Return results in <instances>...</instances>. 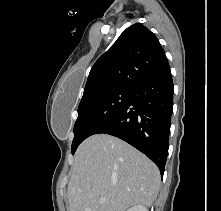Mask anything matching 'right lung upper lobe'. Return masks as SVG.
Here are the masks:
<instances>
[{"instance_id": "cb5924a9", "label": "right lung upper lobe", "mask_w": 221, "mask_h": 211, "mask_svg": "<svg viewBox=\"0 0 221 211\" xmlns=\"http://www.w3.org/2000/svg\"><path fill=\"white\" fill-rule=\"evenodd\" d=\"M169 69L156 36L141 23H136L125 29L93 65L81 101L114 89L132 88L145 78Z\"/></svg>"}]
</instances>
